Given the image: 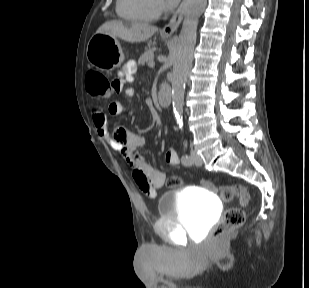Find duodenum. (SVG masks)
<instances>
[{"mask_svg": "<svg viewBox=\"0 0 309 288\" xmlns=\"http://www.w3.org/2000/svg\"><path fill=\"white\" fill-rule=\"evenodd\" d=\"M172 102L171 89L167 85H162L159 90L158 103L161 107L167 108Z\"/></svg>", "mask_w": 309, "mask_h": 288, "instance_id": "obj_1", "label": "duodenum"}]
</instances>
